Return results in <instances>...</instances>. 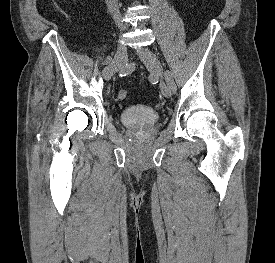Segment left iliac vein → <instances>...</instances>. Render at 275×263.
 I'll return each instance as SVG.
<instances>
[{
	"label": "left iliac vein",
	"instance_id": "4c4485c4",
	"mask_svg": "<svg viewBox=\"0 0 275 263\" xmlns=\"http://www.w3.org/2000/svg\"><path fill=\"white\" fill-rule=\"evenodd\" d=\"M137 54L140 59L143 61L146 68L156 76H162L163 68L160 60L158 59L157 55L146 47H139L137 48ZM161 92L165 97H171L174 93L172 87L166 83H161Z\"/></svg>",
	"mask_w": 275,
	"mask_h": 263
}]
</instances>
